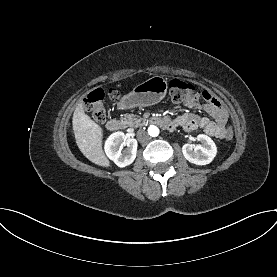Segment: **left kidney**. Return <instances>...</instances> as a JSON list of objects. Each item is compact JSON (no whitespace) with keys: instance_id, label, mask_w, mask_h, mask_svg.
<instances>
[{"instance_id":"left-kidney-1","label":"left kidney","mask_w":277,"mask_h":277,"mask_svg":"<svg viewBox=\"0 0 277 277\" xmlns=\"http://www.w3.org/2000/svg\"><path fill=\"white\" fill-rule=\"evenodd\" d=\"M197 140L201 145L194 148L190 144L183 145V155L190 163L196 165H207L215 158L217 147L214 141L207 135L199 134Z\"/></svg>"}]
</instances>
